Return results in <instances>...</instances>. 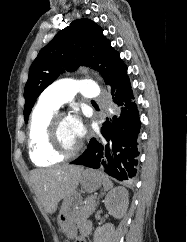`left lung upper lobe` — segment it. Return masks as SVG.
Wrapping results in <instances>:
<instances>
[{"label":"left lung upper lobe","instance_id":"obj_1","mask_svg":"<svg viewBox=\"0 0 187 242\" xmlns=\"http://www.w3.org/2000/svg\"><path fill=\"white\" fill-rule=\"evenodd\" d=\"M102 32L90 19L74 20L40 51L29 69L24 89L25 122L37 97L65 70L74 71L79 66L94 68L109 87L127 74L120 54Z\"/></svg>","mask_w":187,"mask_h":242}]
</instances>
